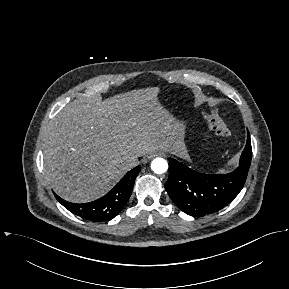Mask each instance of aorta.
Masks as SVG:
<instances>
[{
	"label": "aorta",
	"mask_w": 289,
	"mask_h": 289,
	"mask_svg": "<svg viewBox=\"0 0 289 289\" xmlns=\"http://www.w3.org/2000/svg\"><path fill=\"white\" fill-rule=\"evenodd\" d=\"M151 169L153 170V172H155L156 174H163L167 171L168 169V163L165 159L163 158H155L152 162H151Z\"/></svg>",
	"instance_id": "aorta-1"
}]
</instances>
